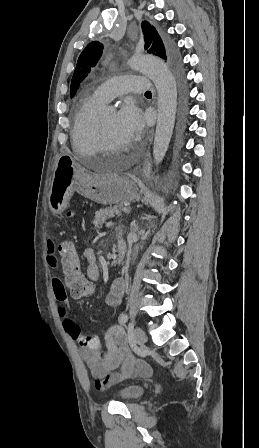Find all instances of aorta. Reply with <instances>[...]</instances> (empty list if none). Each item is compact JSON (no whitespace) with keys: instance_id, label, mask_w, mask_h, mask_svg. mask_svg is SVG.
Returning a JSON list of instances; mask_svg holds the SVG:
<instances>
[{"instance_id":"762f6f07","label":"aorta","mask_w":259,"mask_h":448,"mask_svg":"<svg viewBox=\"0 0 259 448\" xmlns=\"http://www.w3.org/2000/svg\"><path fill=\"white\" fill-rule=\"evenodd\" d=\"M130 66L145 73L153 81L158 92L157 126L153 145L154 161L158 165L167 152L175 124L176 82L168 66L154 56H136L131 59Z\"/></svg>"}]
</instances>
